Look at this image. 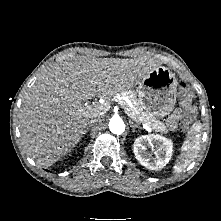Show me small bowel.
Returning <instances> with one entry per match:
<instances>
[{"mask_svg": "<svg viewBox=\"0 0 221 221\" xmlns=\"http://www.w3.org/2000/svg\"><path fill=\"white\" fill-rule=\"evenodd\" d=\"M182 108L186 109L191 107V100H183L181 104ZM181 109H176L168 118L167 124L171 129H175L177 121L180 117Z\"/></svg>", "mask_w": 221, "mask_h": 221, "instance_id": "1", "label": "small bowel"}]
</instances>
